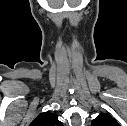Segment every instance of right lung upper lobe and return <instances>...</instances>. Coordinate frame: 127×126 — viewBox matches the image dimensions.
I'll use <instances>...</instances> for the list:
<instances>
[{
    "label": "right lung upper lobe",
    "mask_w": 127,
    "mask_h": 126,
    "mask_svg": "<svg viewBox=\"0 0 127 126\" xmlns=\"http://www.w3.org/2000/svg\"><path fill=\"white\" fill-rule=\"evenodd\" d=\"M30 126H63V124L57 119L56 114L43 112L31 122Z\"/></svg>",
    "instance_id": "cb5924a9"
}]
</instances>
